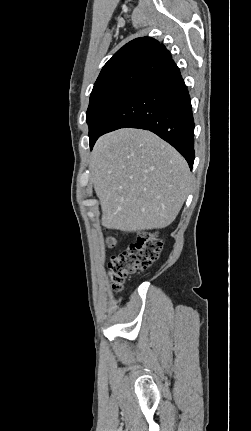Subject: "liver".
Instances as JSON below:
<instances>
[{
	"label": "liver",
	"instance_id": "1",
	"mask_svg": "<svg viewBox=\"0 0 251 431\" xmlns=\"http://www.w3.org/2000/svg\"><path fill=\"white\" fill-rule=\"evenodd\" d=\"M90 177L102 224L127 232L162 229L180 212L191 185L185 159L155 134L119 129L101 136L92 151Z\"/></svg>",
	"mask_w": 251,
	"mask_h": 431
}]
</instances>
